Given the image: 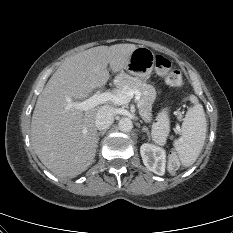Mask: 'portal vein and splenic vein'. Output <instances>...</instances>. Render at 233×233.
Returning <instances> with one entry per match:
<instances>
[{
    "label": "portal vein and splenic vein",
    "instance_id": "obj_1",
    "mask_svg": "<svg viewBox=\"0 0 233 233\" xmlns=\"http://www.w3.org/2000/svg\"><path fill=\"white\" fill-rule=\"evenodd\" d=\"M140 96L141 93L138 90H128V87L126 86L119 93H113L109 91L103 93H95L93 96L82 102L72 103L70 99L68 100V102L70 103V106L73 105L77 109L87 111L97 105L107 102H112L115 105L128 104L133 97L135 98V102H138Z\"/></svg>",
    "mask_w": 233,
    "mask_h": 233
}]
</instances>
